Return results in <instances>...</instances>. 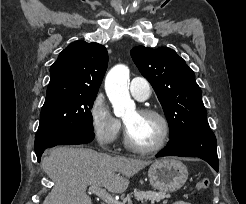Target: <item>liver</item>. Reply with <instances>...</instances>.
<instances>
[{
	"mask_svg": "<svg viewBox=\"0 0 246 204\" xmlns=\"http://www.w3.org/2000/svg\"><path fill=\"white\" fill-rule=\"evenodd\" d=\"M150 163L88 148L57 147L42 160L43 171L55 184L43 204H92L88 186L123 193L129 179Z\"/></svg>",
	"mask_w": 246,
	"mask_h": 204,
	"instance_id": "1",
	"label": "liver"
}]
</instances>
